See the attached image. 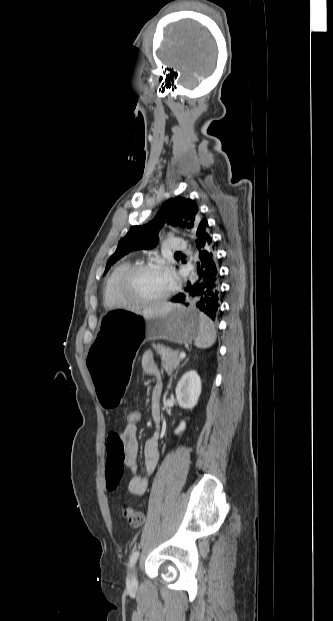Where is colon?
I'll return each instance as SVG.
<instances>
[{
  "label": "colon",
  "mask_w": 333,
  "mask_h": 621,
  "mask_svg": "<svg viewBox=\"0 0 333 621\" xmlns=\"http://www.w3.org/2000/svg\"><path fill=\"white\" fill-rule=\"evenodd\" d=\"M141 420V412L136 408H128L126 411V421L128 424L137 425ZM127 522L132 527H139L143 523V515L141 512L126 508L124 511Z\"/></svg>",
  "instance_id": "1"
}]
</instances>
